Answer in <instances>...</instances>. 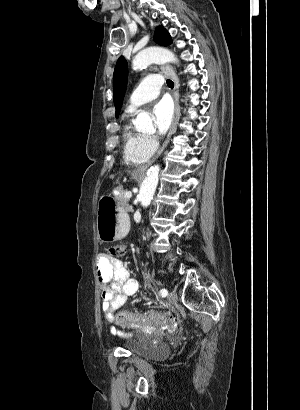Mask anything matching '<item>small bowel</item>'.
<instances>
[{"label":"small bowel","instance_id":"obj_1","mask_svg":"<svg viewBox=\"0 0 300 410\" xmlns=\"http://www.w3.org/2000/svg\"><path fill=\"white\" fill-rule=\"evenodd\" d=\"M97 278L101 286L102 311L108 320L120 309L129 296L138 290V282L133 278L122 262L107 254H99L96 261ZM149 331V327H146ZM114 335L126 336L118 328L112 326Z\"/></svg>","mask_w":300,"mask_h":410}]
</instances>
